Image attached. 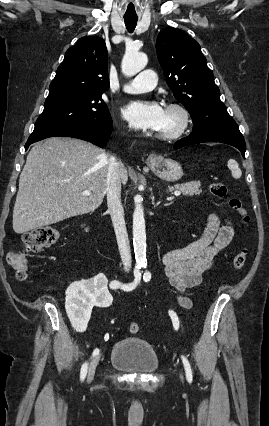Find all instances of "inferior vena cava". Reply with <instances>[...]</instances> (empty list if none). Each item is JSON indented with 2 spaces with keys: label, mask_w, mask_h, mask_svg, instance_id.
<instances>
[{
  "label": "inferior vena cava",
  "mask_w": 269,
  "mask_h": 426,
  "mask_svg": "<svg viewBox=\"0 0 269 426\" xmlns=\"http://www.w3.org/2000/svg\"><path fill=\"white\" fill-rule=\"evenodd\" d=\"M122 168V162L111 156L108 166L106 194L108 211L115 230L121 259L125 270H129L131 268V253L124 220V210L121 204Z\"/></svg>",
  "instance_id": "obj_1"
}]
</instances>
